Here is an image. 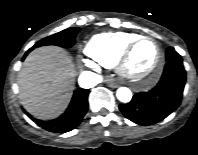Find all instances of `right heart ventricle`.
<instances>
[{"label":"right heart ventricle","mask_w":198,"mask_h":155,"mask_svg":"<svg viewBox=\"0 0 198 155\" xmlns=\"http://www.w3.org/2000/svg\"><path fill=\"white\" fill-rule=\"evenodd\" d=\"M140 36L132 32H107L94 35L86 44L84 51L95 63L111 68L124 48Z\"/></svg>","instance_id":"obj_1"}]
</instances>
